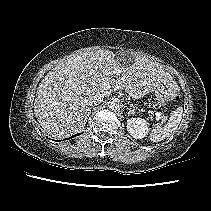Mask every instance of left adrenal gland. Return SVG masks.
Segmentation results:
<instances>
[{
  "label": "left adrenal gland",
  "instance_id": "1",
  "mask_svg": "<svg viewBox=\"0 0 211 211\" xmlns=\"http://www.w3.org/2000/svg\"><path fill=\"white\" fill-rule=\"evenodd\" d=\"M132 106H126V109L128 110V114L127 116L129 117L131 114H135V110L133 108H131Z\"/></svg>",
  "mask_w": 211,
  "mask_h": 211
}]
</instances>
